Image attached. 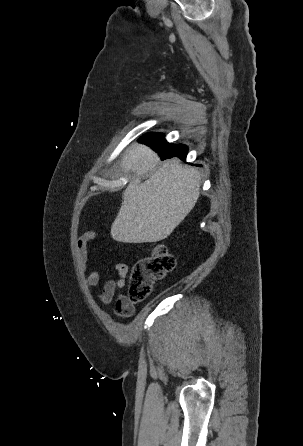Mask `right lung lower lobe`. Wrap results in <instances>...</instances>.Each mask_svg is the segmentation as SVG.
Instances as JSON below:
<instances>
[{
  "mask_svg": "<svg viewBox=\"0 0 303 446\" xmlns=\"http://www.w3.org/2000/svg\"><path fill=\"white\" fill-rule=\"evenodd\" d=\"M159 153L162 160L171 157H179L185 160L188 149L185 145L169 144L161 133H147L138 140Z\"/></svg>",
  "mask_w": 303,
  "mask_h": 446,
  "instance_id": "1",
  "label": "right lung lower lobe"
}]
</instances>
